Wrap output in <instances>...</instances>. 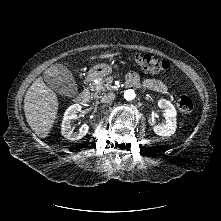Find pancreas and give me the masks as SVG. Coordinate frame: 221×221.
Returning a JSON list of instances; mask_svg holds the SVG:
<instances>
[{"instance_id":"cf45deb5","label":"pancreas","mask_w":221,"mask_h":221,"mask_svg":"<svg viewBox=\"0 0 221 221\" xmlns=\"http://www.w3.org/2000/svg\"><path fill=\"white\" fill-rule=\"evenodd\" d=\"M104 82H106V84H104ZM112 82H113V79L112 78H107L105 80H102L101 78H99V84L96 85L95 87H92V90H96L97 92L96 93H92V96L94 98L98 97V93L99 91H107V90H111L112 89Z\"/></svg>"}]
</instances>
